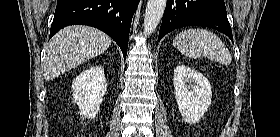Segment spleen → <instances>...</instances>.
<instances>
[{"label":"spleen","mask_w":280,"mask_h":137,"mask_svg":"<svg viewBox=\"0 0 280 137\" xmlns=\"http://www.w3.org/2000/svg\"><path fill=\"white\" fill-rule=\"evenodd\" d=\"M173 46L190 58L204 56L223 65H229L232 61L226 45L216 34L206 29L190 28L181 31L173 39Z\"/></svg>","instance_id":"3e777b00"}]
</instances>
